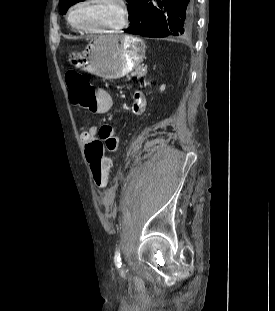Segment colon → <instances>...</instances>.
I'll return each mask as SVG.
<instances>
[{
	"instance_id": "obj_1",
	"label": "colon",
	"mask_w": 275,
	"mask_h": 311,
	"mask_svg": "<svg viewBox=\"0 0 275 311\" xmlns=\"http://www.w3.org/2000/svg\"><path fill=\"white\" fill-rule=\"evenodd\" d=\"M66 83L69 88V99L74 105L85 107L91 100L95 99L93 86L81 74L68 72L66 74ZM105 147L107 148L101 141H93L86 148V157L92 179L98 188H102L107 184L112 166V159L105 154Z\"/></svg>"
}]
</instances>
